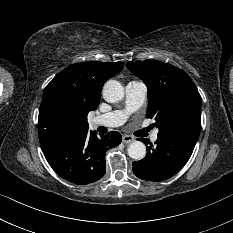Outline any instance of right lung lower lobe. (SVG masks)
Here are the masks:
<instances>
[{"instance_id":"obj_1","label":"right lung lower lobe","mask_w":233,"mask_h":233,"mask_svg":"<svg viewBox=\"0 0 233 233\" xmlns=\"http://www.w3.org/2000/svg\"><path fill=\"white\" fill-rule=\"evenodd\" d=\"M46 160L65 180L86 185L96 182L106 172L105 153L121 143V135L112 131L98 137L88 128L66 134L39 138Z\"/></svg>"}]
</instances>
